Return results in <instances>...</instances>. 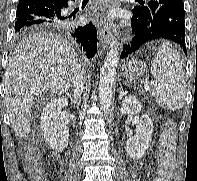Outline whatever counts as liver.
Wrapping results in <instances>:
<instances>
[{
  "instance_id": "1",
  "label": "liver",
  "mask_w": 197,
  "mask_h": 181,
  "mask_svg": "<svg viewBox=\"0 0 197 181\" xmlns=\"http://www.w3.org/2000/svg\"><path fill=\"white\" fill-rule=\"evenodd\" d=\"M80 70L75 50L59 35L34 33L16 46L6 70L5 99L17 137L30 132L34 99L46 91L64 94Z\"/></svg>"
}]
</instances>
